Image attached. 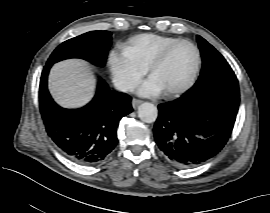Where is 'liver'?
Masks as SVG:
<instances>
[{
  "instance_id": "6515ba94",
  "label": "liver",
  "mask_w": 270,
  "mask_h": 213,
  "mask_svg": "<svg viewBox=\"0 0 270 213\" xmlns=\"http://www.w3.org/2000/svg\"><path fill=\"white\" fill-rule=\"evenodd\" d=\"M94 77L81 60L56 64L49 76V89L63 107L76 108L88 103L94 91Z\"/></svg>"
}]
</instances>
